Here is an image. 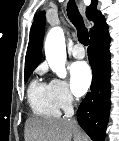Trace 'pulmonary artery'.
Wrapping results in <instances>:
<instances>
[{
  "mask_svg": "<svg viewBox=\"0 0 119 141\" xmlns=\"http://www.w3.org/2000/svg\"><path fill=\"white\" fill-rule=\"evenodd\" d=\"M71 54L77 59H82L85 57V50L81 44H76L71 49Z\"/></svg>",
  "mask_w": 119,
  "mask_h": 141,
  "instance_id": "obj_1",
  "label": "pulmonary artery"
}]
</instances>
